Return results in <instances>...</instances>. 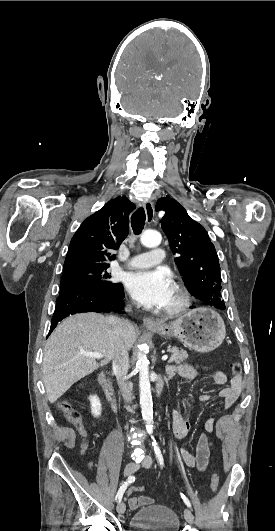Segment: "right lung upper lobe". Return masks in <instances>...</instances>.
I'll use <instances>...</instances> for the list:
<instances>
[{
  "instance_id": "right-lung-upper-lobe-1",
  "label": "right lung upper lobe",
  "mask_w": 275,
  "mask_h": 531,
  "mask_svg": "<svg viewBox=\"0 0 275 531\" xmlns=\"http://www.w3.org/2000/svg\"><path fill=\"white\" fill-rule=\"evenodd\" d=\"M135 209L125 196L106 203L86 218L71 239L63 271L81 266H109L129 232V215Z\"/></svg>"
}]
</instances>
